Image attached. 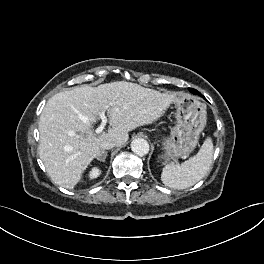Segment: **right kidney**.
<instances>
[{
  "label": "right kidney",
  "instance_id": "right-kidney-1",
  "mask_svg": "<svg viewBox=\"0 0 264 264\" xmlns=\"http://www.w3.org/2000/svg\"><path fill=\"white\" fill-rule=\"evenodd\" d=\"M100 174H101V170L97 167H94L89 173V178L90 179L97 178Z\"/></svg>",
  "mask_w": 264,
  "mask_h": 264
}]
</instances>
